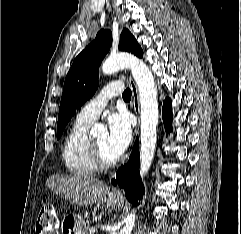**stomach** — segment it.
I'll return each mask as SVG.
<instances>
[{
    "label": "stomach",
    "mask_w": 241,
    "mask_h": 234,
    "mask_svg": "<svg viewBox=\"0 0 241 234\" xmlns=\"http://www.w3.org/2000/svg\"><path fill=\"white\" fill-rule=\"evenodd\" d=\"M107 205L111 208H117L121 204V198L112 194H108L106 197ZM62 234H86V226L82 219L76 215H69L64 218L61 224Z\"/></svg>",
    "instance_id": "obj_1"
}]
</instances>
